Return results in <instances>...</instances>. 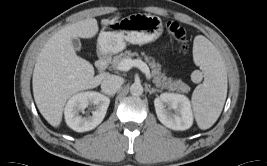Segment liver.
Returning <instances> with one entry per match:
<instances>
[{"label": "liver", "instance_id": "obj_1", "mask_svg": "<svg viewBox=\"0 0 267 166\" xmlns=\"http://www.w3.org/2000/svg\"><path fill=\"white\" fill-rule=\"evenodd\" d=\"M102 20V25L114 23ZM98 32L95 18H87L68 25L54 34L44 45L37 58L32 86L35 103L47 122L59 127L66 101L79 91L100 85L108 75L94 76V67L77 56L72 46L73 38H92Z\"/></svg>", "mask_w": 267, "mask_h": 166}]
</instances>
